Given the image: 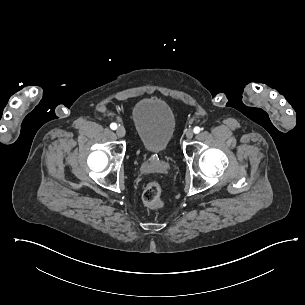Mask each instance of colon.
I'll return each instance as SVG.
<instances>
[{
  "mask_svg": "<svg viewBox=\"0 0 305 305\" xmlns=\"http://www.w3.org/2000/svg\"><path fill=\"white\" fill-rule=\"evenodd\" d=\"M142 203L150 211H157L165 206V200L157 185H148L142 193Z\"/></svg>",
  "mask_w": 305,
  "mask_h": 305,
  "instance_id": "obj_1",
  "label": "colon"
}]
</instances>
